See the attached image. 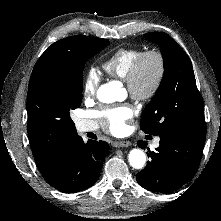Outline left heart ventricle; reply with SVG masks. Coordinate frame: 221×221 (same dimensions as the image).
Segmentation results:
<instances>
[{"instance_id": "left-heart-ventricle-1", "label": "left heart ventricle", "mask_w": 221, "mask_h": 221, "mask_svg": "<svg viewBox=\"0 0 221 221\" xmlns=\"http://www.w3.org/2000/svg\"><path fill=\"white\" fill-rule=\"evenodd\" d=\"M155 75H156L155 61L150 59L146 62L145 66H144L142 80H141L142 85L144 87L149 86L152 83V81L154 80Z\"/></svg>"}]
</instances>
